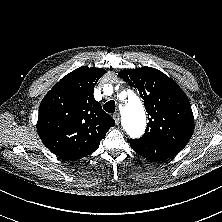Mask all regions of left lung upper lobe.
I'll return each instance as SVG.
<instances>
[{
    "label": "left lung upper lobe",
    "instance_id": "5c2ea615",
    "mask_svg": "<svg viewBox=\"0 0 222 222\" xmlns=\"http://www.w3.org/2000/svg\"><path fill=\"white\" fill-rule=\"evenodd\" d=\"M119 76L137 88L150 117L145 134L137 140L185 146L194 130V117L189 100L180 87L151 67L122 70Z\"/></svg>",
    "mask_w": 222,
    "mask_h": 222
}]
</instances>
